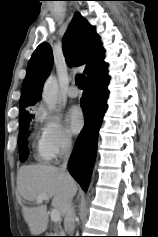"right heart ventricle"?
<instances>
[{
	"mask_svg": "<svg viewBox=\"0 0 158 237\" xmlns=\"http://www.w3.org/2000/svg\"><path fill=\"white\" fill-rule=\"evenodd\" d=\"M33 147L35 150L36 158L41 162L49 161L50 157L44 152L42 145H41V138L37 132H33Z\"/></svg>",
	"mask_w": 158,
	"mask_h": 237,
	"instance_id": "e07e8e85",
	"label": "right heart ventricle"
}]
</instances>
